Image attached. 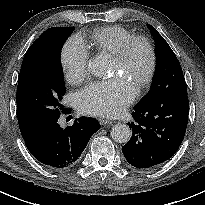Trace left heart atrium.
I'll return each mask as SVG.
<instances>
[{
	"mask_svg": "<svg viewBox=\"0 0 205 205\" xmlns=\"http://www.w3.org/2000/svg\"><path fill=\"white\" fill-rule=\"evenodd\" d=\"M137 88L124 76L94 81L78 92L76 107L87 115L117 116L135 99Z\"/></svg>",
	"mask_w": 205,
	"mask_h": 205,
	"instance_id": "39dd6f15",
	"label": "left heart atrium"
}]
</instances>
